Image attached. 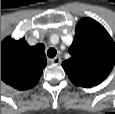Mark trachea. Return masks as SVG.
Wrapping results in <instances>:
<instances>
[{"instance_id": "trachea-1", "label": "trachea", "mask_w": 115, "mask_h": 114, "mask_svg": "<svg viewBox=\"0 0 115 114\" xmlns=\"http://www.w3.org/2000/svg\"><path fill=\"white\" fill-rule=\"evenodd\" d=\"M56 54H57V51L54 48H49L47 51V55L50 58H54L56 56Z\"/></svg>"}]
</instances>
